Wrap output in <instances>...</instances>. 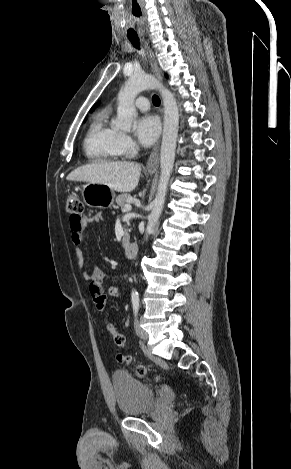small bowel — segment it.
<instances>
[{
    "instance_id": "small-bowel-1",
    "label": "small bowel",
    "mask_w": 291,
    "mask_h": 469,
    "mask_svg": "<svg viewBox=\"0 0 291 469\" xmlns=\"http://www.w3.org/2000/svg\"><path fill=\"white\" fill-rule=\"evenodd\" d=\"M100 220L101 215H94L92 217L85 218L70 217L69 219L71 240L76 246L75 253L77 258V264L79 267L84 266V256L80 248V245L83 241V232L90 223L99 222ZM84 277L86 280L89 281V289L93 298L95 296H98L99 294L104 295L102 283L106 279L107 275L102 268L94 267L91 271L85 272ZM94 289H97V291H94ZM108 294L109 296L114 298L119 297L121 294V289L119 286L116 285L110 286L108 289Z\"/></svg>"
}]
</instances>
